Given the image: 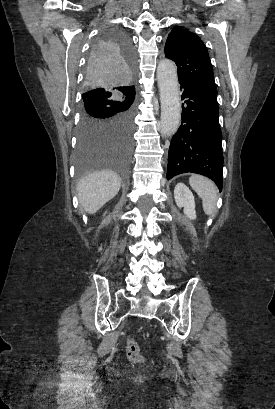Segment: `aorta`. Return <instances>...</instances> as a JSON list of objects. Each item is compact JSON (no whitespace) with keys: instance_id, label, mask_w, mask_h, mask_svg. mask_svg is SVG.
<instances>
[{"instance_id":"aorta-1","label":"aorta","mask_w":275,"mask_h":409,"mask_svg":"<svg viewBox=\"0 0 275 409\" xmlns=\"http://www.w3.org/2000/svg\"><path fill=\"white\" fill-rule=\"evenodd\" d=\"M157 78L161 102L160 132L163 136H172L181 120L179 84L175 62L169 58L160 60L157 66Z\"/></svg>"}]
</instances>
